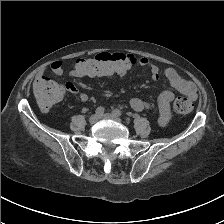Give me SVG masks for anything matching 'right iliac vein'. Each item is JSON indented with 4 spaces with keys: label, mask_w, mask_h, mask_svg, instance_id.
Listing matches in <instances>:
<instances>
[{
    "label": "right iliac vein",
    "mask_w": 224,
    "mask_h": 224,
    "mask_svg": "<svg viewBox=\"0 0 224 224\" xmlns=\"http://www.w3.org/2000/svg\"><path fill=\"white\" fill-rule=\"evenodd\" d=\"M99 119H100V116H98L97 114H93L90 116L89 122L91 124H95Z\"/></svg>",
    "instance_id": "obj_1"
}]
</instances>
